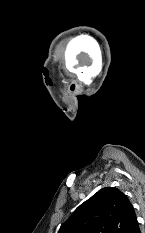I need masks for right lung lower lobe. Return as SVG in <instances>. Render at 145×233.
<instances>
[{
    "instance_id": "1",
    "label": "right lung lower lobe",
    "mask_w": 145,
    "mask_h": 233,
    "mask_svg": "<svg viewBox=\"0 0 145 233\" xmlns=\"http://www.w3.org/2000/svg\"><path fill=\"white\" fill-rule=\"evenodd\" d=\"M131 233H140V228H139L138 222H137L136 225L134 226V228H133V230L131 231Z\"/></svg>"
}]
</instances>
